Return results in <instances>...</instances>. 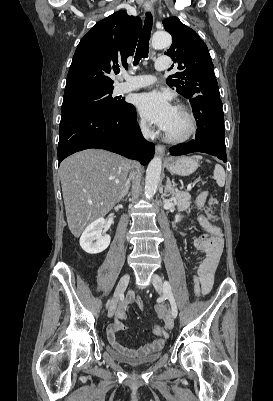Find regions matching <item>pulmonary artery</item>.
<instances>
[{
    "instance_id": "e3ab8cb5",
    "label": "pulmonary artery",
    "mask_w": 273,
    "mask_h": 401,
    "mask_svg": "<svg viewBox=\"0 0 273 401\" xmlns=\"http://www.w3.org/2000/svg\"><path fill=\"white\" fill-rule=\"evenodd\" d=\"M159 70L166 72L168 70L167 60L165 57H158L156 60ZM157 77L154 74H137L135 80H120L118 86L123 92L132 91L135 89H147L149 83L156 82Z\"/></svg>"
}]
</instances>
